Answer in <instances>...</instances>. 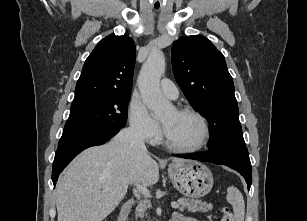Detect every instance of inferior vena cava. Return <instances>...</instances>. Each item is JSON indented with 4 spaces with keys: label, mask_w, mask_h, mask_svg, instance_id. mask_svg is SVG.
I'll return each instance as SVG.
<instances>
[{
    "label": "inferior vena cava",
    "mask_w": 307,
    "mask_h": 221,
    "mask_svg": "<svg viewBox=\"0 0 307 221\" xmlns=\"http://www.w3.org/2000/svg\"><path fill=\"white\" fill-rule=\"evenodd\" d=\"M115 139L119 142L130 144L132 147L141 151H146L143 134L141 130L135 126H130L129 128L121 130Z\"/></svg>",
    "instance_id": "602c4592"
}]
</instances>
